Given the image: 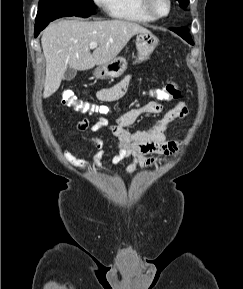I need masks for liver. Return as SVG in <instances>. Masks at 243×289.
Here are the masks:
<instances>
[{"instance_id":"1","label":"liver","mask_w":243,"mask_h":289,"mask_svg":"<svg viewBox=\"0 0 243 289\" xmlns=\"http://www.w3.org/2000/svg\"><path fill=\"white\" fill-rule=\"evenodd\" d=\"M141 25L124 20H59L43 31L41 44L46 60L43 97L60 87L68 67L89 70L114 59L136 34L147 32ZM97 42L93 53L89 44Z\"/></svg>"}]
</instances>
